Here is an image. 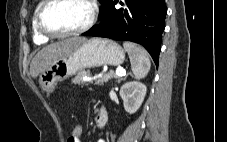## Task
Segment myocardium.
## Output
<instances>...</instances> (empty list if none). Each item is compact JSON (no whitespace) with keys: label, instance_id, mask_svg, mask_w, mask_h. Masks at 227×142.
Listing matches in <instances>:
<instances>
[{"label":"myocardium","instance_id":"f54148a6","mask_svg":"<svg viewBox=\"0 0 227 142\" xmlns=\"http://www.w3.org/2000/svg\"><path fill=\"white\" fill-rule=\"evenodd\" d=\"M58 0H44L42 5L40 6L38 12H37V28L39 32L47 37H53V38H62V37H68V36H73V35H78L81 33L86 32L89 30L93 25L96 23L97 18H98V13H99V8L96 0H85L87 4L90 7V17L89 20L85 25L82 27L72 30V31H67V32H55L50 29H48L44 23V14L46 10L55 2Z\"/></svg>","mask_w":227,"mask_h":142}]
</instances>
